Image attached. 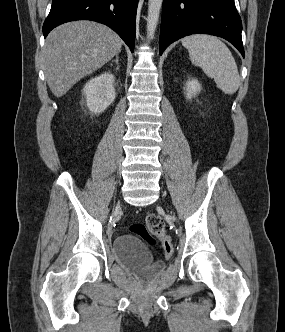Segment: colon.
Listing matches in <instances>:
<instances>
[{"instance_id": "5ec220e1", "label": "colon", "mask_w": 285, "mask_h": 332, "mask_svg": "<svg viewBox=\"0 0 285 332\" xmlns=\"http://www.w3.org/2000/svg\"><path fill=\"white\" fill-rule=\"evenodd\" d=\"M130 232L141 237L150 244H155L159 239L164 254L170 258L173 254V244L168 236L165 235V223L156 214H149L145 223H136L130 226Z\"/></svg>"}]
</instances>
